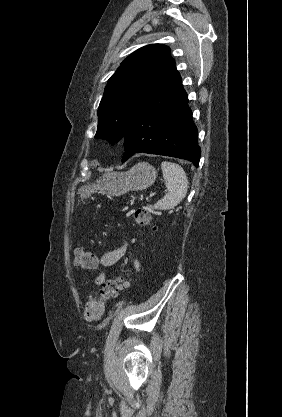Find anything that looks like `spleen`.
I'll return each mask as SVG.
<instances>
[{
	"instance_id": "spleen-1",
	"label": "spleen",
	"mask_w": 282,
	"mask_h": 417,
	"mask_svg": "<svg viewBox=\"0 0 282 417\" xmlns=\"http://www.w3.org/2000/svg\"><path fill=\"white\" fill-rule=\"evenodd\" d=\"M161 168L167 186V192L161 200H157L153 209L169 211V209H174V206L179 204L180 200L186 196L189 188L188 178L184 168L176 164V162H167V160H164V162H161Z\"/></svg>"
}]
</instances>
